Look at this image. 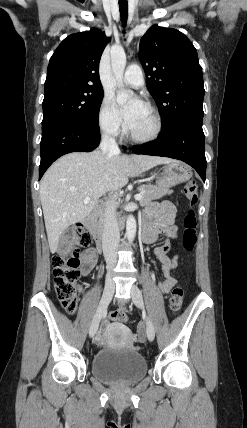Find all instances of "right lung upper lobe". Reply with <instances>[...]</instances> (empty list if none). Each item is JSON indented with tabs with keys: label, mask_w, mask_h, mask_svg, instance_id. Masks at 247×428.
<instances>
[{
	"label": "right lung upper lobe",
	"mask_w": 247,
	"mask_h": 428,
	"mask_svg": "<svg viewBox=\"0 0 247 428\" xmlns=\"http://www.w3.org/2000/svg\"><path fill=\"white\" fill-rule=\"evenodd\" d=\"M108 40L96 29L64 39L50 59L44 92L63 87L103 89L99 61Z\"/></svg>",
	"instance_id": "1"
}]
</instances>
